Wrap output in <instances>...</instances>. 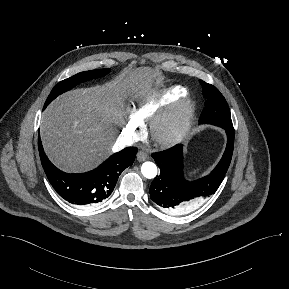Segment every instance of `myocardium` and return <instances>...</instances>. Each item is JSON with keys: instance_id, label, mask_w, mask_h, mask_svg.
<instances>
[{"instance_id": "1", "label": "myocardium", "mask_w": 289, "mask_h": 289, "mask_svg": "<svg viewBox=\"0 0 289 289\" xmlns=\"http://www.w3.org/2000/svg\"><path fill=\"white\" fill-rule=\"evenodd\" d=\"M195 108L192 98L183 95L160 110L150 121L149 131L153 140L165 147L180 142L191 127Z\"/></svg>"}]
</instances>
